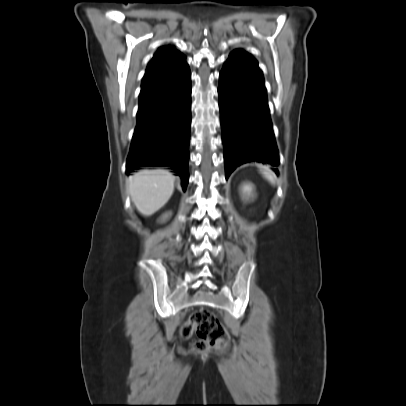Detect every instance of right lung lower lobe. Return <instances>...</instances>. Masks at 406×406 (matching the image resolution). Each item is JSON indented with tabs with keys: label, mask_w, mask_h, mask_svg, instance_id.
I'll return each instance as SVG.
<instances>
[{
	"label": "right lung lower lobe",
	"mask_w": 406,
	"mask_h": 406,
	"mask_svg": "<svg viewBox=\"0 0 406 406\" xmlns=\"http://www.w3.org/2000/svg\"><path fill=\"white\" fill-rule=\"evenodd\" d=\"M191 91V73L187 65L169 80L140 92L127 173L145 166L171 167L182 178V188L186 190Z\"/></svg>",
	"instance_id": "1"
}]
</instances>
